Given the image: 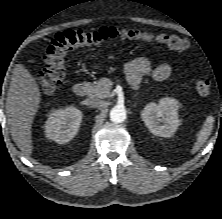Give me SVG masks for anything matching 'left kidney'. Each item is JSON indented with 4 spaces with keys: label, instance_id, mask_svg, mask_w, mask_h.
<instances>
[{
    "label": "left kidney",
    "instance_id": "5707ae66",
    "mask_svg": "<svg viewBox=\"0 0 222 219\" xmlns=\"http://www.w3.org/2000/svg\"><path fill=\"white\" fill-rule=\"evenodd\" d=\"M178 108L179 102L176 99L165 97L160 99L159 104H147L141 118L152 134L171 137L180 125Z\"/></svg>",
    "mask_w": 222,
    "mask_h": 219
}]
</instances>
